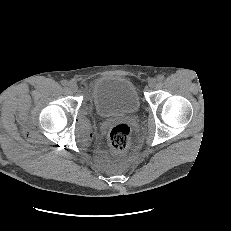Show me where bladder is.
I'll list each match as a JSON object with an SVG mask.
<instances>
[{"instance_id": "31cf9c89", "label": "bladder", "mask_w": 231, "mask_h": 231, "mask_svg": "<svg viewBox=\"0 0 231 231\" xmlns=\"http://www.w3.org/2000/svg\"><path fill=\"white\" fill-rule=\"evenodd\" d=\"M91 101L97 114L107 118L138 111L140 100L134 84L120 76H102L91 87Z\"/></svg>"}]
</instances>
